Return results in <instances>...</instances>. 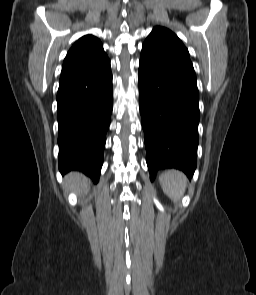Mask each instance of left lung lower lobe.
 Returning <instances> with one entry per match:
<instances>
[{
    "instance_id": "1",
    "label": "left lung lower lobe",
    "mask_w": 256,
    "mask_h": 295,
    "mask_svg": "<svg viewBox=\"0 0 256 295\" xmlns=\"http://www.w3.org/2000/svg\"><path fill=\"white\" fill-rule=\"evenodd\" d=\"M139 97L151 180L157 170L176 168L191 178L198 146V89L139 64Z\"/></svg>"
}]
</instances>
